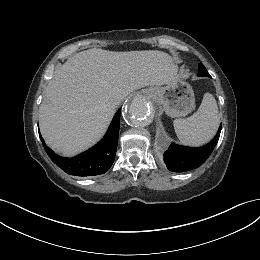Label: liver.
<instances>
[{
    "label": "liver",
    "instance_id": "obj_1",
    "mask_svg": "<svg viewBox=\"0 0 260 260\" xmlns=\"http://www.w3.org/2000/svg\"><path fill=\"white\" fill-rule=\"evenodd\" d=\"M179 77L173 58L162 51L79 52L48 83L39 116L42 137L55 152L74 156L105 133L118 99Z\"/></svg>",
    "mask_w": 260,
    "mask_h": 260
}]
</instances>
